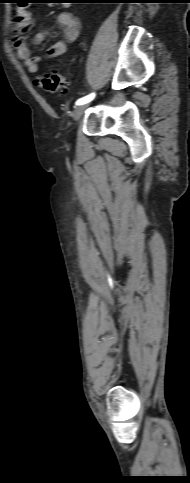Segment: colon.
<instances>
[{"label":"colon","instance_id":"1","mask_svg":"<svg viewBox=\"0 0 190 483\" xmlns=\"http://www.w3.org/2000/svg\"><path fill=\"white\" fill-rule=\"evenodd\" d=\"M37 84L45 90L53 93H64L69 85V80L57 71L51 70L38 76Z\"/></svg>","mask_w":190,"mask_h":483}]
</instances>
